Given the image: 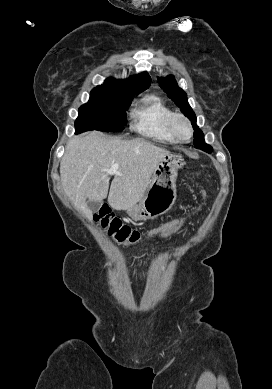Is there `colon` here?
<instances>
[{
  "mask_svg": "<svg viewBox=\"0 0 272 389\" xmlns=\"http://www.w3.org/2000/svg\"><path fill=\"white\" fill-rule=\"evenodd\" d=\"M189 218L190 216L178 217L144 233L123 224L107 207L101 208L95 214V220L100 226L117 242L126 246L136 245L143 240L169 236L179 231Z\"/></svg>",
  "mask_w": 272,
  "mask_h": 389,
  "instance_id": "5ec220e1",
  "label": "colon"
}]
</instances>
